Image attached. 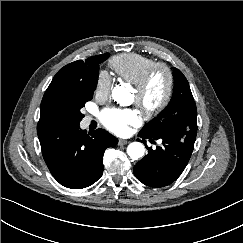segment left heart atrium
<instances>
[{
    "instance_id": "39dd6f15",
    "label": "left heart atrium",
    "mask_w": 243,
    "mask_h": 243,
    "mask_svg": "<svg viewBox=\"0 0 243 243\" xmlns=\"http://www.w3.org/2000/svg\"><path fill=\"white\" fill-rule=\"evenodd\" d=\"M101 121L112 132L126 134L131 125H136L139 122V115L132 108H112L102 112Z\"/></svg>"
}]
</instances>
